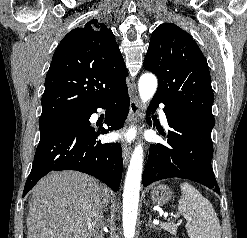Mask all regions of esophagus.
Returning a JSON list of instances; mask_svg holds the SVG:
<instances>
[{
  "instance_id": "1",
  "label": "esophagus",
  "mask_w": 247,
  "mask_h": 238,
  "mask_svg": "<svg viewBox=\"0 0 247 238\" xmlns=\"http://www.w3.org/2000/svg\"><path fill=\"white\" fill-rule=\"evenodd\" d=\"M139 108H140V100L137 96H134L131 99L130 107H129V114L126 122V127L130 125H134L139 116ZM131 145L127 143H123L122 145V155H123V162L126 166L129 162L130 156H131Z\"/></svg>"
}]
</instances>
